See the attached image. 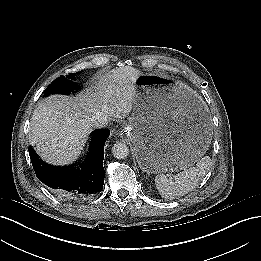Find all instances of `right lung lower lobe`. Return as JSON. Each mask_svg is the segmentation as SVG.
Returning a JSON list of instances; mask_svg holds the SVG:
<instances>
[{
    "label": "right lung lower lobe",
    "mask_w": 261,
    "mask_h": 261,
    "mask_svg": "<svg viewBox=\"0 0 261 261\" xmlns=\"http://www.w3.org/2000/svg\"><path fill=\"white\" fill-rule=\"evenodd\" d=\"M108 129L94 131L85 163L75 168L51 166L29 147V155L38 179L62 198L82 200L100 192L104 184V144Z\"/></svg>",
    "instance_id": "98d812e1"
}]
</instances>
